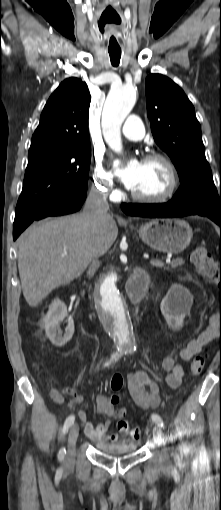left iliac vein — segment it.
Segmentation results:
<instances>
[{"instance_id": "4c4485c4", "label": "left iliac vein", "mask_w": 221, "mask_h": 510, "mask_svg": "<svg viewBox=\"0 0 221 510\" xmlns=\"http://www.w3.org/2000/svg\"><path fill=\"white\" fill-rule=\"evenodd\" d=\"M153 435H154V439L163 444L164 445V440H163V433H162V430L160 429V427L156 426L154 427L153 429ZM167 458V451L165 450V448L162 449V453H161V460L162 462H164Z\"/></svg>"}]
</instances>
